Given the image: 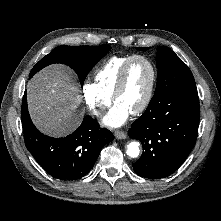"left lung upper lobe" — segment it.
<instances>
[{"mask_svg": "<svg viewBox=\"0 0 221 221\" xmlns=\"http://www.w3.org/2000/svg\"><path fill=\"white\" fill-rule=\"evenodd\" d=\"M137 49L144 51L148 48L137 47ZM157 51V87L150 102L166 98L177 90L196 86L188 66L170 48L159 46Z\"/></svg>", "mask_w": 221, "mask_h": 221, "instance_id": "left-lung-upper-lobe-1", "label": "left lung upper lobe"}]
</instances>
